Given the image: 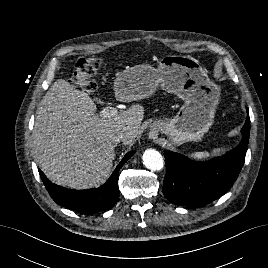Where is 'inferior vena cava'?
<instances>
[{
    "label": "inferior vena cava",
    "mask_w": 268,
    "mask_h": 268,
    "mask_svg": "<svg viewBox=\"0 0 268 268\" xmlns=\"http://www.w3.org/2000/svg\"><path fill=\"white\" fill-rule=\"evenodd\" d=\"M130 135H132V134H130ZM126 136H128V135L121 132V131H117V130H111L107 133V138L111 143H118L121 140H123Z\"/></svg>",
    "instance_id": "602c4592"
}]
</instances>
